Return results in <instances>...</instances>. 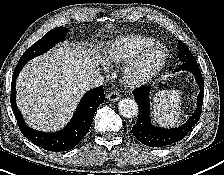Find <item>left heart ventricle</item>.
I'll return each mask as SVG.
<instances>
[{
  "label": "left heart ventricle",
  "instance_id": "1",
  "mask_svg": "<svg viewBox=\"0 0 224 175\" xmlns=\"http://www.w3.org/2000/svg\"><path fill=\"white\" fill-rule=\"evenodd\" d=\"M158 57H159V52H155V53H153V54L149 57V59H148L149 63H153V62H155V61L157 60Z\"/></svg>",
  "mask_w": 224,
  "mask_h": 175
}]
</instances>
